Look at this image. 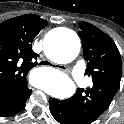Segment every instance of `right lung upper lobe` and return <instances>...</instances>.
Here are the masks:
<instances>
[{
	"label": "right lung upper lobe",
	"instance_id": "right-lung-upper-lobe-1",
	"mask_svg": "<svg viewBox=\"0 0 124 124\" xmlns=\"http://www.w3.org/2000/svg\"><path fill=\"white\" fill-rule=\"evenodd\" d=\"M47 21L25 14L0 23V102L22 97L30 89L26 76L37 65L32 42Z\"/></svg>",
	"mask_w": 124,
	"mask_h": 124
}]
</instances>
